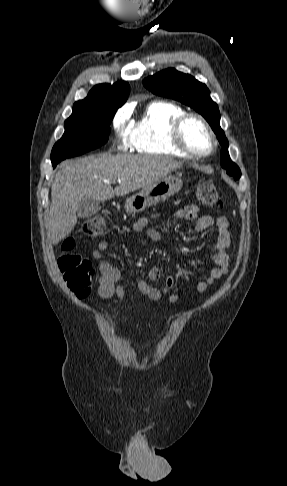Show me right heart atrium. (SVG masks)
Instances as JSON below:
<instances>
[{
  "label": "right heart atrium",
  "mask_w": 287,
  "mask_h": 486,
  "mask_svg": "<svg viewBox=\"0 0 287 486\" xmlns=\"http://www.w3.org/2000/svg\"><path fill=\"white\" fill-rule=\"evenodd\" d=\"M127 120H128V114L125 111H119L112 120L113 128L121 133V138L118 143V147L121 150H127L130 147L127 134L124 131Z\"/></svg>",
  "instance_id": "d8ad5b80"
}]
</instances>
